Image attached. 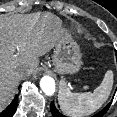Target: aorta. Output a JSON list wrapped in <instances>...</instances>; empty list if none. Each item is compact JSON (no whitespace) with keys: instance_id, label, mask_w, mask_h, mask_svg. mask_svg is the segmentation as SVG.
<instances>
[{"instance_id":"obj_1","label":"aorta","mask_w":117,"mask_h":117,"mask_svg":"<svg viewBox=\"0 0 117 117\" xmlns=\"http://www.w3.org/2000/svg\"><path fill=\"white\" fill-rule=\"evenodd\" d=\"M40 87L46 95L51 96L55 92V81L50 76H43L40 80Z\"/></svg>"}]
</instances>
